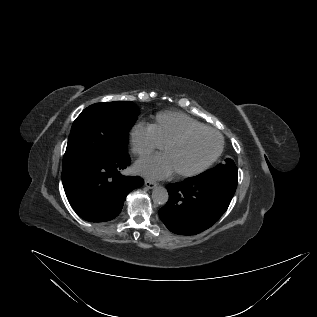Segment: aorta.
Listing matches in <instances>:
<instances>
[{"instance_id": "1", "label": "aorta", "mask_w": 317, "mask_h": 317, "mask_svg": "<svg viewBox=\"0 0 317 317\" xmlns=\"http://www.w3.org/2000/svg\"><path fill=\"white\" fill-rule=\"evenodd\" d=\"M169 194L168 191L162 187L158 186L153 189L152 200L158 205H165L168 201Z\"/></svg>"}]
</instances>
